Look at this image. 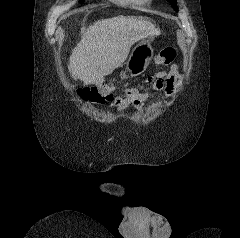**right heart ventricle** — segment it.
<instances>
[{
    "instance_id": "obj_1",
    "label": "right heart ventricle",
    "mask_w": 240,
    "mask_h": 238,
    "mask_svg": "<svg viewBox=\"0 0 240 238\" xmlns=\"http://www.w3.org/2000/svg\"><path fill=\"white\" fill-rule=\"evenodd\" d=\"M120 6H143L149 2V0H110Z\"/></svg>"
}]
</instances>
